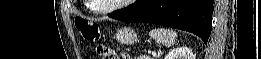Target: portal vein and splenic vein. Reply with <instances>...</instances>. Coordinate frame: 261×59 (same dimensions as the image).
I'll return each instance as SVG.
<instances>
[{"label":"portal vein and splenic vein","instance_id":"18ae733b","mask_svg":"<svg viewBox=\"0 0 261 59\" xmlns=\"http://www.w3.org/2000/svg\"><path fill=\"white\" fill-rule=\"evenodd\" d=\"M153 55L156 54L155 52H151Z\"/></svg>","mask_w":261,"mask_h":59}]
</instances>
